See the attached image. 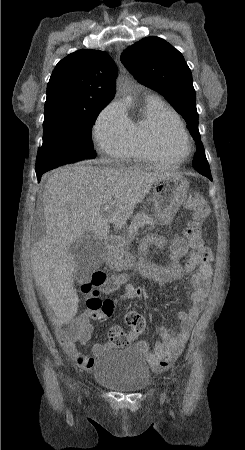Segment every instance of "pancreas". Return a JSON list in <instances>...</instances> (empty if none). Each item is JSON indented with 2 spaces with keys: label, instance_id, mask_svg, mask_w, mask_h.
<instances>
[{
  "label": "pancreas",
  "instance_id": "pancreas-1",
  "mask_svg": "<svg viewBox=\"0 0 245 450\" xmlns=\"http://www.w3.org/2000/svg\"><path fill=\"white\" fill-rule=\"evenodd\" d=\"M155 224H156V222L153 220V218L148 216L145 212L137 213L133 217L131 224L128 227L127 236L129 238V240H132L135 238V236L138 233L139 228H144L146 225L153 227Z\"/></svg>",
  "mask_w": 245,
  "mask_h": 450
}]
</instances>
